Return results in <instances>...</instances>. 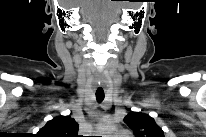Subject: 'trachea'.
<instances>
[{
    "label": "trachea",
    "instance_id": "obj_1",
    "mask_svg": "<svg viewBox=\"0 0 206 137\" xmlns=\"http://www.w3.org/2000/svg\"><path fill=\"white\" fill-rule=\"evenodd\" d=\"M104 97H105L104 91H97L96 92V100L98 102H102L104 100Z\"/></svg>",
    "mask_w": 206,
    "mask_h": 137
}]
</instances>
